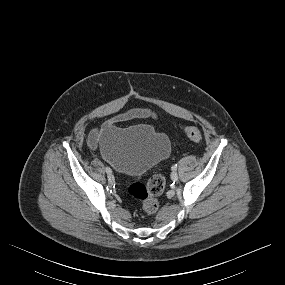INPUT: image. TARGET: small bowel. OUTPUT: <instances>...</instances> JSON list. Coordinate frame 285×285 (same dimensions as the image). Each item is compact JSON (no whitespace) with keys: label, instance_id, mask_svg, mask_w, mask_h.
Here are the masks:
<instances>
[{"label":"small bowel","instance_id":"obj_1","mask_svg":"<svg viewBox=\"0 0 285 285\" xmlns=\"http://www.w3.org/2000/svg\"><path fill=\"white\" fill-rule=\"evenodd\" d=\"M132 118L156 119L157 115L148 109H137V110L129 111V112L124 113V114L117 115V116L113 117L110 122L114 123V122L124 121L127 119H132ZM98 140H99V131L94 130L93 132H91V134L89 136V139H88L89 145L92 148H95L97 146Z\"/></svg>","mask_w":285,"mask_h":285}]
</instances>
